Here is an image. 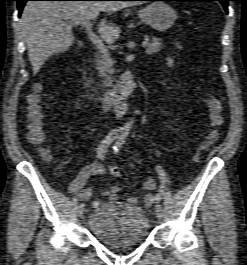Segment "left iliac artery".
<instances>
[{"instance_id": "44dca946", "label": "left iliac artery", "mask_w": 247, "mask_h": 265, "mask_svg": "<svg viewBox=\"0 0 247 265\" xmlns=\"http://www.w3.org/2000/svg\"><path fill=\"white\" fill-rule=\"evenodd\" d=\"M125 134L121 135L118 140L116 141V143L114 144L113 146V149H114V152L115 153H118L123 145V142H124V139H125ZM156 171L159 175V178L161 180V183H162V186H161V190L159 192V194L156 196V201L159 202L161 200V195L163 193V188H164V185L167 181V178H166V173L164 171V169L161 167V166H156Z\"/></svg>"}]
</instances>
